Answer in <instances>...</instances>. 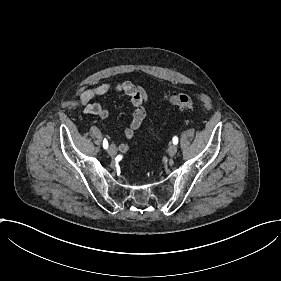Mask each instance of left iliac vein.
<instances>
[{"mask_svg": "<svg viewBox=\"0 0 281 281\" xmlns=\"http://www.w3.org/2000/svg\"><path fill=\"white\" fill-rule=\"evenodd\" d=\"M176 149H177V146L175 145V144H172L171 146H170V148L168 149V154L169 155H176L177 153H176Z\"/></svg>", "mask_w": 281, "mask_h": 281, "instance_id": "4c4485c4", "label": "left iliac vein"}]
</instances>
